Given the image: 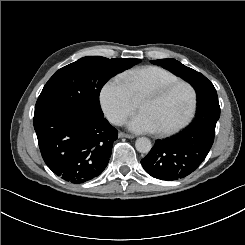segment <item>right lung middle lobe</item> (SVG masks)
Returning <instances> with one entry per match:
<instances>
[{
  "mask_svg": "<svg viewBox=\"0 0 245 245\" xmlns=\"http://www.w3.org/2000/svg\"><path fill=\"white\" fill-rule=\"evenodd\" d=\"M140 61L135 58L83 57L54 73L36 102L35 112L46 108L67 107L94 117H103L99 103L101 88L111 76Z\"/></svg>",
  "mask_w": 245,
  "mask_h": 245,
  "instance_id": "obj_1",
  "label": "right lung middle lobe"
}]
</instances>
